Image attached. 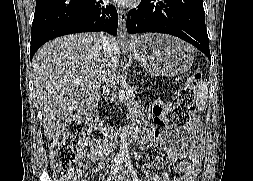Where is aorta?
Instances as JSON below:
<instances>
[{
	"label": "aorta",
	"mask_w": 253,
	"mask_h": 181,
	"mask_svg": "<svg viewBox=\"0 0 253 181\" xmlns=\"http://www.w3.org/2000/svg\"><path fill=\"white\" fill-rule=\"evenodd\" d=\"M121 134H122V136H120V139H119V144H121L120 145V150H121V152L119 153V156L120 157H128L129 156V152H128V147H127V145H126V139H125V136H123V130H124V127L122 126L121 127Z\"/></svg>",
	"instance_id": "aorta-1"
}]
</instances>
